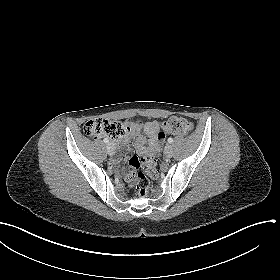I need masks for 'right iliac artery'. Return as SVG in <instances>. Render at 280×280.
Masks as SVG:
<instances>
[{
    "label": "right iliac artery",
    "instance_id": "1",
    "mask_svg": "<svg viewBox=\"0 0 280 280\" xmlns=\"http://www.w3.org/2000/svg\"><path fill=\"white\" fill-rule=\"evenodd\" d=\"M103 141H104L105 143H109V140H108L107 138H105Z\"/></svg>",
    "mask_w": 280,
    "mask_h": 280
}]
</instances>
